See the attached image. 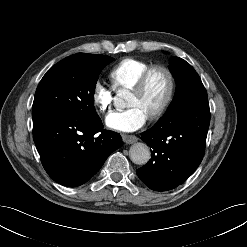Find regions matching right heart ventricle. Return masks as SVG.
<instances>
[{
  "mask_svg": "<svg viewBox=\"0 0 247 247\" xmlns=\"http://www.w3.org/2000/svg\"><path fill=\"white\" fill-rule=\"evenodd\" d=\"M152 65L146 61L125 58L110 71V79L117 90L131 89L140 76Z\"/></svg>",
  "mask_w": 247,
  "mask_h": 247,
  "instance_id": "right-heart-ventricle-1",
  "label": "right heart ventricle"
}]
</instances>
